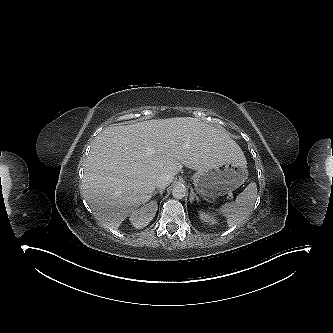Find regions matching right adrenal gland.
<instances>
[{
    "instance_id": "1",
    "label": "right adrenal gland",
    "mask_w": 333,
    "mask_h": 333,
    "mask_svg": "<svg viewBox=\"0 0 333 333\" xmlns=\"http://www.w3.org/2000/svg\"><path fill=\"white\" fill-rule=\"evenodd\" d=\"M165 188H162V189H157L156 191H154L153 193V196H155L157 193H160V195L162 196L163 195V192H164Z\"/></svg>"
}]
</instances>
